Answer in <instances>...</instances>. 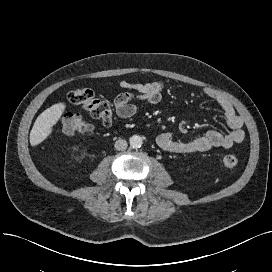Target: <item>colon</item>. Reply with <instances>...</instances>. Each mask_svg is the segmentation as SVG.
<instances>
[{
	"mask_svg": "<svg viewBox=\"0 0 272 272\" xmlns=\"http://www.w3.org/2000/svg\"><path fill=\"white\" fill-rule=\"evenodd\" d=\"M67 100L73 105L80 106L88 112L91 117L99 120L103 126H110L113 119V112L109 103L99 99L95 94L86 88H75L67 95ZM89 124L79 114H68L61 118V130L67 135H73L90 131ZM222 162L225 167L233 169L238 166V158L233 154H227L223 157Z\"/></svg>",
	"mask_w": 272,
	"mask_h": 272,
	"instance_id": "5ec220e1",
	"label": "colon"
}]
</instances>
